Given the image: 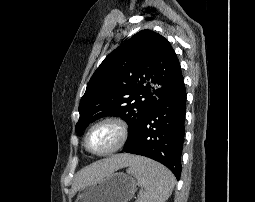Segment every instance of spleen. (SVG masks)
I'll return each instance as SVG.
<instances>
[{
    "instance_id": "3e777b00",
    "label": "spleen",
    "mask_w": 255,
    "mask_h": 202,
    "mask_svg": "<svg viewBox=\"0 0 255 202\" xmlns=\"http://www.w3.org/2000/svg\"><path fill=\"white\" fill-rule=\"evenodd\" d=\"M127 173L144 189L136 202H165L175 185V177L166 167L144 157H137Z\"/></svg>"
}]
</instances>
